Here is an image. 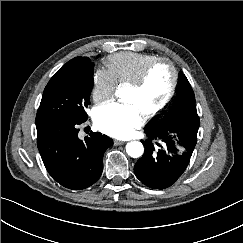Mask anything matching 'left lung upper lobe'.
<instances>
[{"label": "left lung upper lobe", "mask_w": 243, "mask_h": 243, "mask_svg": "<svg viewBox=\"0 0 243 243\" xmlns=\"http://www.w3.org/2000/svg\"><path fill=\"white\" fill-rule=\"evenodd\" d=\"M175 123L192 125L196 127V131H198L200 125L193 89L182 72L180 73L179 78L177 98L173 106L163 118L151 124L146 129L163 130Z\"/></svg>", "instance_id": "obj_1"}]
</instances>
